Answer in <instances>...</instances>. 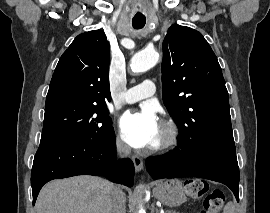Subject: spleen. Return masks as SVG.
<instances>
[{
  "label": "spleen",
  "instance_id": "obj_1",
  "mask_svg": "<svg viewBox=\"0 0 270 213\" xmlns=\"http://www.w3.org/2000/svg\"><path fill=\"white\" fill-rule=\"evenodd\" d=\"M224 213H234L233 203H228L224 208Z\"/></svg>",
  "mask_w": 270,
  "mask_h": 213
}]
</instances>
